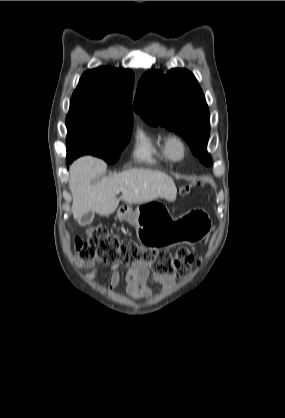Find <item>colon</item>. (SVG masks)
<instances>
[{"mask_svg": "<svg viewBox=\"0 0 285 418\" xmlns=\"http://www.w3.org/2000/svg\"><path fill=\"white\" fill-rule=\"evenodd\" d=\"M74 249L78 260L84 264L95 261H117L125 266L144 263L156 276L176 279L187 275L196 261L187 247L177 248L174 255L160 249L140 247L133 240L110 233L102 225L89 227L86 238L77 235Z\"/></svg>", "mask_w": 285, "mask_h": 418, "instance_id": "colon-1", "label": "colon"}]
</instances>
